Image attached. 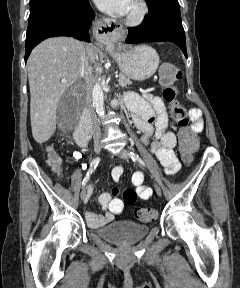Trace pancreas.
Listing matches in <instances>:
<instances>
[{
  "mask_svg": "<svg viewBox=\"0 0 240 288\" xmlns=\"http://www.w3.org/2000/svg\"><path fill=\"white\" fill-rule=\"evenodd\" d=\"M118 83L121 87H126L127 85H130L132 82L130 81V79H127L124 75L120 74Z\"/></svg>",
  "mask_w": 240,
  "mask_h": 288,
  "instance_id": "1",
  "label": "pancreas"
}]
</instances>
